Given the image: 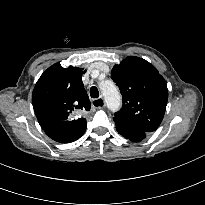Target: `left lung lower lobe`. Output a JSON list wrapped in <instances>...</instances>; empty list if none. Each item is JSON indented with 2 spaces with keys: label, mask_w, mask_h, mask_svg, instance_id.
Listing matches in <instances>:
<instances>
[{
  "label": "left lung lower lobe",
  "mask_w": 205,
  "mask_h": 205,
  "mask_svg": "<svg viewBox=\"0 0 205 205\" xmlns=\"http://www.w3.org/2000/svg\"><path fill=\"white\" fill-rule=\"evenodd\" d=\"M114 122L116 124V130L119 134H121L123 137L133 141V142H139L143 140L148 132L142 131L140 129H137L135 127H132L124 122H121L119 120H115Z\"/></svg>",
  "instance_id": "obj_1"
}]
</instances>
